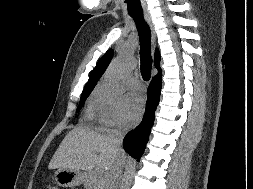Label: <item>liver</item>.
<instances>
[{"instance_id":"1","label":"liver","mask_w":253,"mask_h":189,"mask_svg":"<svg viewBox=\"0 0 253 189\" xmlns=\"http://www.w3.org/2000/svg\"><path fill=\"white\" fill-rule=\"evenodd\" d=\"M126 158L124 151L118 153L113 148L111 137L78 127L71 130L62 140L48 168L98 172L102 176L101 189H104L102 187L107 174L116 162H125Z\"/></svg>"}]
</instances>
